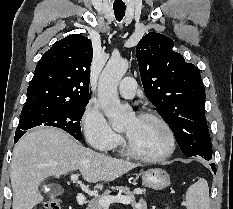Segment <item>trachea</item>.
Masks as SVG:
<instances>
[{"mask_svg":"<svg viewBox=\"0 0 233 209\" xmlns=\"http://www.w3.org/2000/svg\"><path fill=\"white\" fill-rule=\"evenodd\" d=\"M115 17L118 21H121L125 15V6H113Z\"/></svg>","mask_w":233,"mask_h":209,"instance_id":"obj_1","label":"trachea"}]
</instances>
